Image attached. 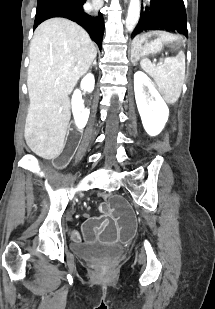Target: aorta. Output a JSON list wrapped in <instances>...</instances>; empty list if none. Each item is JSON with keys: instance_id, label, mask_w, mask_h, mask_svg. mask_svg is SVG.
<instances>
[{"instance_id": "obj_1", "label": "aorta", "mask_w": 215, "mask_h": 309, "mask_svg": "<svg viewBox=\"0 0 215 309\" xmlns=\"http://www.w3.org/2000/svg\"><path fill=\"white\" fill-rule=\"evenodd\" d=\"M140 0H130L126 18L127 30H134L140 16Z\"/></svg>"}]
</instances>
